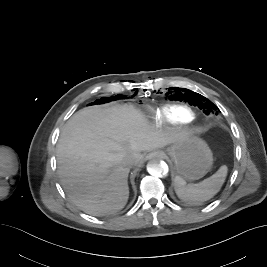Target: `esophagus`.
<instances>
[{"instance_id":"obj_1","label":"esophagus","mask_w":267,"mask_h":267,"mask_svg":"<svg viewBox=\"0 0 267 267\" xmlns=\"http://www.w3.org/2000/svg\"><path fill=\"white\" fill-rule=\"evenodd\" d=\"M161 156V153L158 152V151H154V152H151L149 153L147 156H146V159H152V158H156V157H160Z\"/></svg>"}]
</instances>
